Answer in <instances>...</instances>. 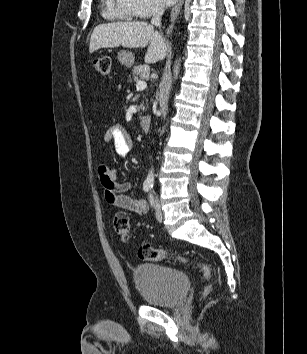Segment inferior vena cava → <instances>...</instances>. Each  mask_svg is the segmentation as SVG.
<instances>
[{"label": "inferior vena cava", "instance_id": "inferior-vena-cava-1", "mask_svg": "<svg viewBox=\"0 0 307 354\" xmlns=\"http://www.w3.org/2000/svg\"><path fill=\"white\" fill-rule=\"evenodd\" d=\"M164 13V9L161 6H155L152 9V19L151 24L160 27L161 17Z\"/></svg>", "mask_w": 307, "mask_h": 354}]
</instances>
